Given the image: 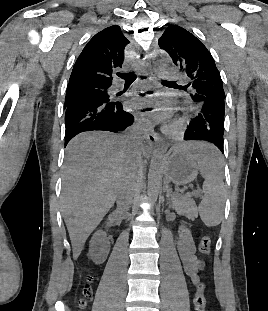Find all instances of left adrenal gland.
<instances>
[{"mask_svg": "<svg viewBox=\"0 0 268 311\" xmlns=\"http://www.w3.org/2000/svg\"><path fill=\"white\" fill-rule=\"evenodd\" d=\"M163 191L166 192V198H167V200H169L171 192L169 190L168 183L166 181L164 182Z\"/></svg>", "mask_w": 268, "mask_h": 311, "instance_id": "a2214340", "label": "left adrenal gland"}]
</instances>
